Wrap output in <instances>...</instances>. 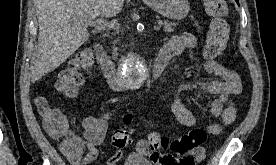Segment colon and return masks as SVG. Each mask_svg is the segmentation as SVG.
Instances as JSON below:
<instances>
[{"instance_id":"1","label":"colon","mask_w":276,"mask_h":165,"mask_svg":"<svg viewBox=\"0 0 276 165\" xmlns=\"http://www.w3.org/2000/svg\"><path fill=\"white\" fill-rule=\"evenodd\" d=\"M203 6L206 14L211 18L204 55L208 59H214L225 50L229 38L228 6L225 0H203ZM93 63L94 56L90 48H84L76 53L59 76L56 84L59 93L66 98H74L78 88L84 82V73L92 68ZM35 106L47 132L56 137L65 135L62 149L67 153H75L79 144L67 134V121L64 114L52 107L43 96L35 98ZM131 119V115H126L125 124L130 123ZM206 139L207 133L201 128L193 129L176 139H169L159 133H151L138 144V149L148 154L150 158H155L159 149H169L176 155L184 157L200 150ZM111 142L118 149L125 148L131 142L129 130L125 126L116 129L112 134Z\"/></svg>"}]
</instances>
